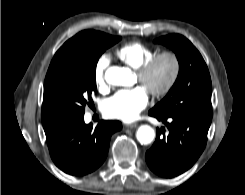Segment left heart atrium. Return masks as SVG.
<instances>
[{"mask_svg": "<svg viewBox=\"0 0 245 195\" xmlns=\"http://www.w3.org/2000/svg\"><path fill=\"white\" fill-rule=\"evenodd\" d=\"M148 104V93L144 87L122 89L107 98L102 104L103 113L124 122L136 120Z\"/></svg>", "mask_w": 245, "mask_h": 195, "instance_id": "1", "label": "left heart atrium"}]
</instances>
